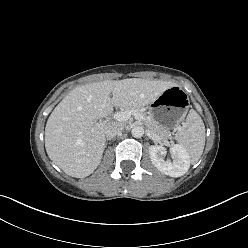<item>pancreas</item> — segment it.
Returning <instances> with one entry per match:
<instances>
[{
  "label": "pancreas",
  "mask_w": 248,
  "mask_h": 248,
  "mask_svg": "<svg viewBox=\"0 0 248 248\" xmlns=\"http://www.w3.org/2000/svg\"><path fill=\"white\" fill-rule=\"evenodd\" d=\"M142 117L143 123L153 132L155 133L159 138L161 139H170L171 134L168 129L165 127L159 125L156 121H154L152 118H150L147 113L143 109H135Z\"/></svg>",
  "instance_id": "pancreas-1"
}]
</instances>
